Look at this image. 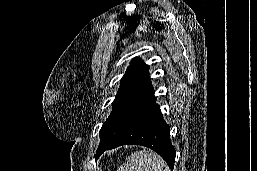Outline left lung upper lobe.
<instances>
[{"mask_svg":"<svg viewBox=\"0 0 257 171\" xmlns=\"http://www.w3.org/2000/svg\"><path fill=\"white\" fill-rule=\"evenodd\" d=\"M148 68L139 58H134L128 67L112 103L113 110L100 129L99 146L117 137L155 98Z\"/></svg>","mask_w":257,"mask_h":171,"instance_id":"1","label":"left lung upper lobe"}]
</instances>
